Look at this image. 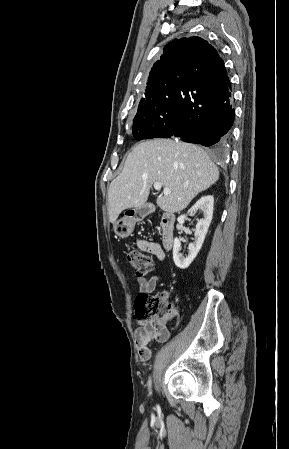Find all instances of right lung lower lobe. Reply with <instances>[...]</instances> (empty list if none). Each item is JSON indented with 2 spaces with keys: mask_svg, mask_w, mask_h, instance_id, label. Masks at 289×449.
<instances>
[{
  "mask_svg": "<svg viewBox=\"0 0 289 449\" xmlns=\"http://www.w3.org/2000/svg\"><path fill=\"white\" fill-rule=\"evenodd\" d=\"M176 93V118L151 138L176 136L216 151L224 148L235 117L231 83L225 66L207 81L180 82Z\"/></svg>",
  "mask_w": 289,
  "mask_h": 449,
  "instance_id": "1",
  "label": "right lung lower lobe"
}]
</instances>
